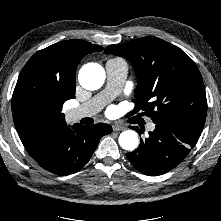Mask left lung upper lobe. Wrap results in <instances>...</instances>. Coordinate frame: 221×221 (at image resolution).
Returning <instances> with one entry per match:
<instances>
[{
  "label": "left lung upper lobe",
  "instance_id": "5c2ea615",
  "mask_svg": "<svg viewBox=\"0 0 221 221\" xmlns=\"http://www.w3.org/2000/svg\"><path fill=\"white\" fill-rule=\"evenodd\" d=\"M105 54L128 59L138 85L135 109L128 116H150L154 123H191L204 127L207 100L201 74L180 48L157 37L110 45Z\"/></svg>",
  "mask_w": 221,
  "mask_h": 221
}]
</instances>
